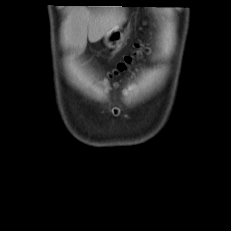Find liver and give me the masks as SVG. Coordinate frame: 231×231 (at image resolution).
Returning <instances> with one entry per match:
<instances>
[{
  "label": "liver",
  "mask_w": 231,
  "mask_h": 231,
  "mask_svg": "<svg viewBox=\"0 0 231 231\" xmlns=\"http://www.w3.org/2000/svg\"><path fill=\"white\" fill-rule=\"evenodd\" d=\"M126 21L125 14L118 8H110L91 12L84 6L72 7L64 25V44L81 53L87 45V37L91 43L118 30Z\"/></svg>",
  "instance_id": "6515ba94"
}]
</instances>
